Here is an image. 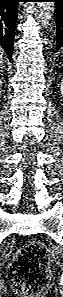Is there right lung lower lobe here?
Segmentation results:
<instances>
[{"label":"right lung lower lobe","instance_id":"1","mask_svg":"<svg viewBox=\"0 0 63 297\" xmlns=\"http://www.w3.org/2000/svg\"><path fill=\"white\" fill-rule=\"evenodd\" d=\"M20 0H0V46L12 60L13 42Z\"/></svg>","mask_w":63,"mask_h":297}]
</instances>
